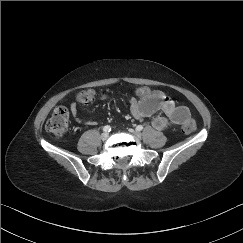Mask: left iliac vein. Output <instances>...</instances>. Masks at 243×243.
<instances>
[{
    "label": "left iliac vein",
    "instance_id": "1",
    "mask_svg": "<svg viewBox=\"0 0 243 243\" xmlns=\"http://www.w3.org/2000/svg\"><path fill=\"white\" fill-rule=\"evenodd\" d=\"M130 132H131L132 134H134L135 136H138V137L140 136V133L137 132V131H133V130H131Z\"/></svg>",
    "mask_w": 243,
    "mask_h": 243
}]
</instances>
